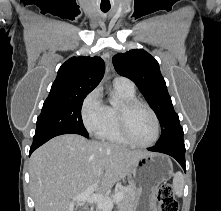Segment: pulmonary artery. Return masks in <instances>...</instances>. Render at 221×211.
Wrapping results in <instances>:
<instances>
[{"instance_id":"1","label":"pulmonary artery","mask_w":221,"mask_h":211,"mask_svg":"<svg viewBox=\"0 0 221 211\" xmlns=\"http://www.w3.org/2000/svg\"><path fill=\"white\" fill-rule=\"evenodd\" d=\"M113 85L116 88H122L130 91L134 90V83L130 79L122 76L116 77L113 80Z\"/></svg>"}]
</instances>
